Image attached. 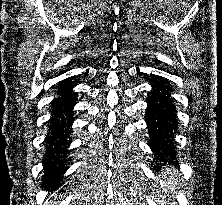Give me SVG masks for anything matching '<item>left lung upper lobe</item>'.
I'll use <instances>...</instances> for the list:
<instances>
[{
    "label": "left lung upper lobe",
    "mask_w": 222,
    "mask_h": 205,
    "mask_svg": "<svg viewBox=\"0 0 222 205\" xmlns=\"http://www.w3.org/2000/svg\"><path fill=\"white\" fill-rule=\"evenodd\" d=\"M161 151V153H164V151L163 150H160Z\"/></svg>",
    "instance_id": "obj_1"
}]
</instances>
